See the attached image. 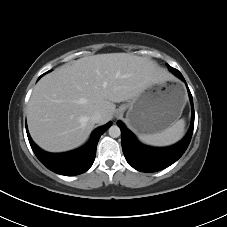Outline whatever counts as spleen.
<instances>
[{
  "instance_id": "1",
  "label": "spleen",
  "mask_w": 227,
  "mask_h": 227,
  "mask_svg": "<svg viewBox=\"0 0 227 227\" xmlns=\"http://www.w3.org/2000/svg\"><path fill=\"white\" fill-rule=\"evenodd\" d=\"M185 120L180 119L160 133L140 134L139 139L152 146H168L178 142L184 134Z\"/></svg>"
}]
</instances>
